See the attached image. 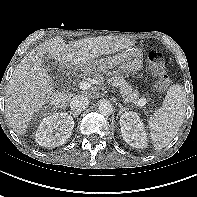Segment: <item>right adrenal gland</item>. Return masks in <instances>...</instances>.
Returning a JSON list of instances; mask_svg holds the SVG:
<instances>
[{"mask_svg": "<svg viewBox=\"0 0 197 197\" xmlns=\"http://www.w3.org/2000/svg\"><path fill=\"white\" fill-rule=\"evenodd\" d=\"M70 115H73L74 118L78 117L79 114H75L73 112H70Z\"/></svg>", "mask_w": 197, "mask_h": 197, "instance_id": "right-adrenal-gland-1", "label": "right adrenal gland"}]
</instances>
